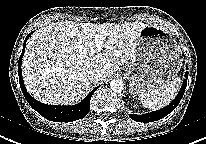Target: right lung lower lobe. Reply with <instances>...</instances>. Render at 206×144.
Segmentation results:
<instances>
[{"mask_svg":"<svg viewBox=\"0 0 206 144\" xmlns=\"http://www.w3.org/2000/svg\"><path fill=\"white\" fill-rule=\"evenodd\" d=\"M32 33L26 36V39L23 44V50H22V53L18 61L19 83H20L21 90L26 100L28 101V103L31 105L33 109H35L40 115H42L44 118L50 121L72 122V121H76L78 119L85 117L90 110V100H91L92 94L97 90L98 87L93 89L86 96V98L83 101H81L79 104L72 105V106H69V105L68 106H54V105L43 104L35 100L27 92L24 86L23 80H22L21 62H22L24 51H25L26 42Z\"/></svg>","mask_w":206,"mask_h":144,"instance_id":"1","label":"right lung lower lobe"}]
</instances>
